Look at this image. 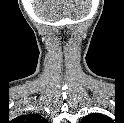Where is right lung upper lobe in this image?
Listing matches in <instances>:
<instances>
[{
	"instance_id": "1",
	"label": "right lung upper lobe",
	"mask_w": 124,
	"mask_h": 123,
	"mask_svg": "<svg viewBox=\"0 0 124 123\" xmlns=\"http://www.w3.org/2000/svg\"><path fill=\"white\" fill-rule=\"evenodd\" d=\"M18 119L22 120L23 122H30V123H43L45 122L44 119L38 114H27L19 116Z\"/></svg>"
}]
</instances>
